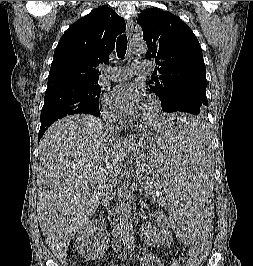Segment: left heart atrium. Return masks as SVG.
Here are the masks:
<instances>
[{
	"instance_id": "1",
	"label": "left heart atrium",
	"mask_w": 253,
	"mask_h": 266,
	"mask_svg": "<svg viewBox=\"0 0 253 266\" xmlns=\"http://www.w3.org/2000/svg\"><path fill=\"white\" fill-rule=\"evenodd\" d=\"M114 97L121 110L129 117L140 116L146 102L144 91L133 84H120L114 88Z\"/></svg>"
}]
</instances>
